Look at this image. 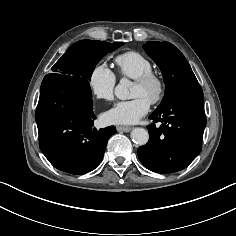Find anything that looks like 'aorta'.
<instances>
[{"label":"aorta","instance_id":"obj_1","mask_svg":"<svg viewBox=\"0 0 236 236\" xmlns=\"http://www.w3.org/2000/svg\"><path fill=\"white\" fill-rule=\"evenodd\" d=\"M131 87H132V82L127 78H122L118 83V85L115 87L114 91L115 96L120 100L131 99L132 98L130 92ZM131 138L136 144L142 146L147 144L149 140V134L143 128H135L131 132Z\"/></svg>","mask_w":236,"mask_h":236}]
</instances>
